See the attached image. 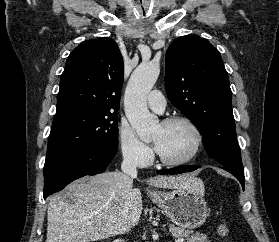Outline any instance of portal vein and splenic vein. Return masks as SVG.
Segmentation results:
<instances>
[{
	"label": "portal vein and splenic vein",
	"mask_w": 279,
	"mask_h": 242,
	"mask_svg": "<svg viewBox=\"0 0 279 242\" xmlns=\"http://www.w3.org/2000/svg\"><path fill=\"white\" fill-rule=\"evenodd\" d=\"M184 241V239H178V240H176V242H183Z\"/></svg>",
	"instance_id": "18ae733b"
}]
</instances>
